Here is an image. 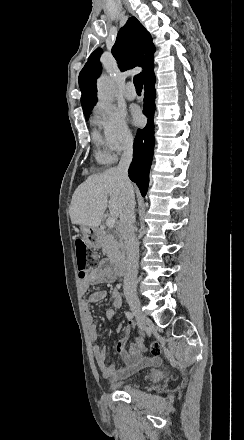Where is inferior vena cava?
<instances>
[{
  "label": "inferior vena cava",
  "mask_w": 244,
  "mask_h": 440,
  "mask_svg": "<svg viewBox=\"0 0 244 440\" xmlns=\"http://www.w3.org/2000/svg\"><path fill=\"white\" fill-rule=\"evenodd\" d=\"M132 158V144H129L116 168L124 192L122 210L120 212L119 232L124 240L126 252V270L123 284L125 296L136 294L137 292V266L139 258V244L134 234L135 198L133 186L128 178V168L132 162Z\"/></svg>",
  "instance_id": "602c4592"
}]
</instances>
